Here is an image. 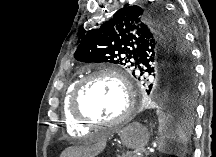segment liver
<instances>
[{"label": "liver", "instance_id": "liver-1", "mask_svg": "<svg viewBox=\"0 0 216 157\" xmlns=\"http://www.w3.org/2000/svg\"><path fill=\"white\" fill-rule=\"evenodd\" d=\"M106 146L105 137H96L86 146L70 147L66 149L61 157H95L97 156Z\"/></svg>", "mask_w": 216, "mask_h": 157}]
</instances>
